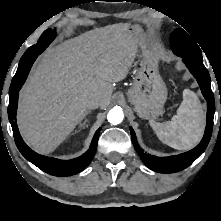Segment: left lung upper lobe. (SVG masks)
I'll list each match as a JSON object with an SVG mask.
<instances>
[{"mask_svg": "<svg viewBox=\"0 0 221 221\" xmlns=\"http://www.w3.org/2000/svg\"><path fill=\"white\" fill-rule=\"evenodd\" d=\"M170 41L171 48L176 55L202 63V52L191 34L189 35L182 29H176L172 32Z\"/></svg>", "mask_w": 221, "mask_h": 221, "instance_id": "obj_1", "label": "left lung upper lobe"}]
</instances>
